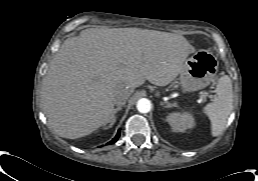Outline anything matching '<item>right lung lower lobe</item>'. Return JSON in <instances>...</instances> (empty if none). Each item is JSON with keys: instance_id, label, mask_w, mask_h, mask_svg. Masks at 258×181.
I'll list each match as a JSON object with an SVG mask.
<instances>
[{"instance_id": "right-lung-lower-lobe-1", "label": "right lung lower lobe", "mask_w": 258, "mask_h": 181, "mask_svg": "<svg viewBox=\"0 0 258 181\" xmlns=\"http://www.w3.org/2000/svg\"><path fill=\"white\" fill-rule=\"evenodd\" d=\"M119 136H120V130L118 131L116 137L113 140H111L108 144L114 143L119 138Z\"/></svg>"}]
</instances>
